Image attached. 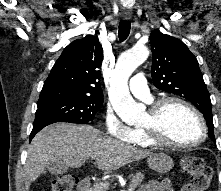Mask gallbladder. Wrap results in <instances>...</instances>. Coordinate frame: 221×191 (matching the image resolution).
<instances>
[{"label": "gallbladder", "mask_w": 221, "mask_h": 191, "mask_svg": "<svg viewBox=\"0 0 221 191\" xmlns=\"http://www.w3.org/2000/svg\"><path fill=\"white\" fill-rule=\"evenodd\" d=\"M67 166L63 162H57L49 165L48 170L51 174L58 175L67 172Z\"/></svg>", "instance_id": "obj_1"}]
</instances>
